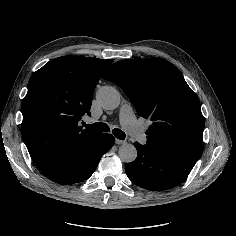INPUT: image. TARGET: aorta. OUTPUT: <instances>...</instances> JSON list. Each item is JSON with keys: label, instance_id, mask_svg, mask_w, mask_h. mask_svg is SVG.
<instances>
[{"label": "aorta", "instance_id": "1", "mask_svg": "<svg viewBox=\"0 0 236 236\" xmlns=\"http://www.w3.org/2000/svg\"><path fill=\"white\" fill-rule=\"evenodd\" d=\"M98 103L105 110H114L120 104L119 92L111 86L100 88L96 94ZM118 156L122 162H133L137 157V150L132 144L124 143L118 150Z\"/></svg>", "mask_w": 236, "mask_h": 236}]
</instances>
